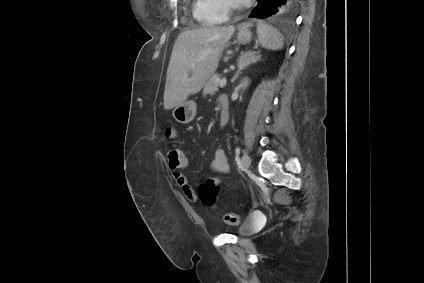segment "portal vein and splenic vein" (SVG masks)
I'll use <instances>...</instances> for the list:
<instances>
[{
  "instance_id": "1",
  "label": "portal vein and splenic vein",
  "mask_w": 424,
  "mask_h": 283,
  "mask_svg": "<svg viewBox=\"0 0 424 283\" xmlns=\"http://www.w3.org/2000/svg\"><path fill=\"white\" fill-rule=\"evenodd\" d=\"M207 54V51H205L204 53H203V55H206ZM226 82H227V79L224 77L223 79H219L218 80V83H219V86L220 87H224L225 85H226Z\"/></svg>"
}]
</instances>
